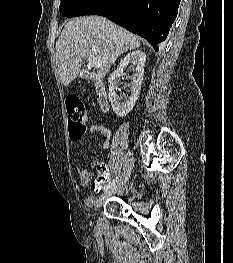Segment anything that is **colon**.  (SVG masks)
I'll use <instances>...</instances> for the list:
<instances>
[{
    "label": "colon",
    "instance_id": "5ec220e1",
    "mask_svg": "<svg viewBox=\"0 0 233 263\" xmlns=\"http://www.w3.org/2000/svg\"><path fill=\"white\" fill-rule=\"evenodd\" d=\"M66 110L68 114L69 136L72 140H79L86 132L89 121L88 111L82 100L78 97H71L66 102ZM108 171H97L98 176L96 182L91 184V189H94L96 195H107L105 184L111 180V175Z\"/></svg>",
    "mask_w": 233,
    "mask_h": 263
}]
</instances>
